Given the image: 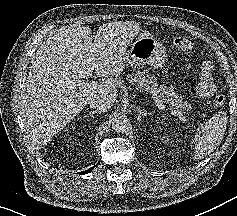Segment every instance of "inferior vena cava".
Listing matches in <instances>:
<instances>
[{"mask_svg":"<svg viewBox=\"0 0 237 216\" xmlns=\"http://www.w3.org/2000/svg\"><path fill=\"white\" fill-rule=\"evenodd\" d=\"M114 103L115 100L108 97L104 92L98 93L94 97H90L86 102L90 108L101 113H106L108 110H110Z\"/></svg>","mask_w":237,"mask_h":216,"instance_id":"602c4592","label":"inferior vena cava"}]
</instances>
